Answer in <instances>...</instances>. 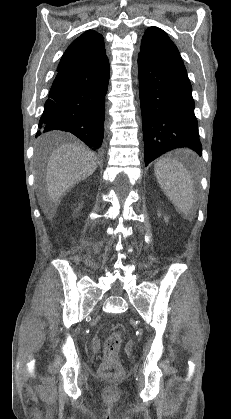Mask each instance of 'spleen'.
Returning <instances> with one entry per match:
<instances>
[{
  "mask_svg": "<svg viewBox=\"0 0 231 419\" xmlns=\"http://www.w3.org/2000/svg\"><path fill=\"white\" fill-rule=\"evenodd\" d=\"M154 172L166 196L181 213L188 215L194 201L193 181L188 170L178 160L162 158L156 162Z\"/></svg>",
  "mask_w": 231,
  "mask_h": 419,
  "instance_id": "spleen-1",
  "label": "spleen"
}]
</instances>
